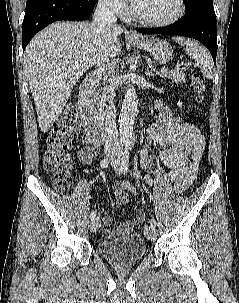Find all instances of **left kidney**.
Segmentation results:
<instances>
[{"label":"left kidney","instance_id":"obj_1","mask_svg":"<svg viewBox=\"0 0 239 303\" xmlns=\"http://www.w3.org/2000/svg\"><path fill=\"white\" fill-rule=\"evenodd\" d=\"M177 105H178L179 107H181V106H182V102H181V101H178V102H177Z\"/></svg>","mask_w":239,"mask_h":303}]
</instances>
